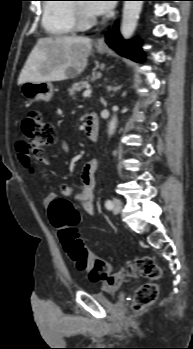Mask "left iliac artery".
I'll return each instance as SVG.
<instances>
[{
    "label": "left iliac artery",
    "instance_id": "left-iliac-artery-1",
    "mask_svg": "<svg viewBox=\"0 0 193 349\" xmlns=\"http://www.w3.org/2000/svg\"><path fill=\"white\" fill-rule=\"evenodd\" d=\"M105 207L107 208V209H112L113 208V203H112V201L111 200H106V202H105Z\"/></svg>",
    "mask_w": 193,
    "mask_h": 349
}]
</instances>
